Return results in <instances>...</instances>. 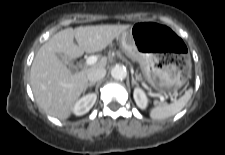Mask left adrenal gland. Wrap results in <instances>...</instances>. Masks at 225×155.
<instances>
[{"label":"left adrenal gland","mask_w":225,"mask_h":155,"mask_svg":"<svg viewBox=\"0 0 225 155\" xmlns=\"http://www.w3.org/2000/svg\"><path fill=\"white\" fill-rule=\"evenodd\" d=\"M131 77H132V86H134V85L138 86V83L135 80L134 76L132 75Z\"/></svg>","instance_id":"1"}]
</instances>
